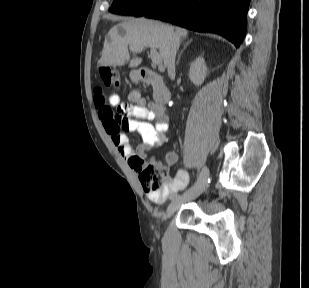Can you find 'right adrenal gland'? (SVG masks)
Instances as JSON below:
<instances>
[{
    "label": "right adrenal gland",
    "mask_w": 309,
    "mask_h": 288,
    "mask_svg": "<svg viewBox=\"0 0 309 288\" xmlns=\"http://www.w3.org/2000/svg\"><path fill=\"white\" fill-rule=\"evenodd\" d=\"M190 43H191V39L188 40V41L184 44L183 49L180 51V53H179V55H178L177 65H178L179 62H180V58H181L182 53L184 52V50L187 48V46H188Z\"/></svg>",
    "instance_id": "1"
}]
</instances>
